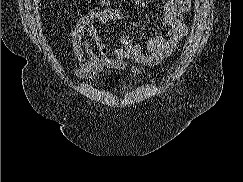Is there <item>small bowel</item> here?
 I'll list each match as a JSON object with an SVG mask.
<instances>
[{
  "instance_id": "obj_1",
  "label": "small bowel",
  "mask_w": 243,
  "mask_h": 182,
  "mask_svg": "<svg viewBox=\"0 0 243 182\" xmlns=\"http://www.w3.org/2000/svg\"><path fill=\"white\" fill-rule=\"evenodd\" d=\"M141 5L142 0H133ZM191 10V0H166L158 17L166 33L135 42L129 35L122 34L121 45L109 48L103 41L96 23L107 24L122 19L116 9L95 7L76 24L70 35V47L77 66L74 74L81 79L97 80L104 70L116 72L127 69L136 73L141 66H155L171 56L180 41L188 34L185 14ZM144 50L149 53L144 54Z\"/></svg>"
}]
</instances>
